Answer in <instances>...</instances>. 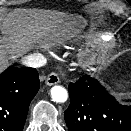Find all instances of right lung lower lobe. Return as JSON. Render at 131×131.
Here are the masks:
<instances>
[{
    "mask_svg": "<svg viewBox=\"0 0 131 131\" xmlns=\"http://www.w3.org/2000/svg\"><path fill=\"white\" fill-rule=\"evenodd\" d=\"M40 87L34 68L9 67L0 75V131H22L31 100Z\"/></svg>",
    "mask_w": 131,
    "mask_h": 131,
    "instance_id": "obj_1",
    "label": "right lung lower lobe"
}]
</instances>
